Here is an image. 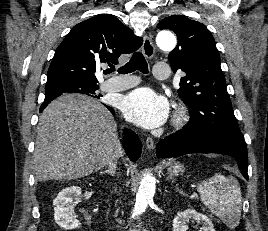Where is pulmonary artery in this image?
Instances as JSON below:
<instances>
[{
  "label": "pulmonary artery",
  "instance_id": "1",
  "mask_svg": "<svg viewBox=\"0 0 268 231\" xmlns=\"http://www.w3.org/2000/svg\"><path fill=\"white\" fill-rule=\"evenodd\" d=\"M153 77L159 81H166L169 77V66L167 63H157L154 66ZM137 84L136 80L131 76L112 77L107 80L102 88L105 92L114 93L121 92L131 88Z\"/></svg>",
  "mask_w": 268,
  "mask_h": 231
}]
</instances>
